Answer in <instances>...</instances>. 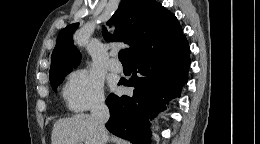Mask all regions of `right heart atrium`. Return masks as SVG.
Returning a JSON list of instances; mask_svg holds the SVG:
<instances>
[{
    "label": "right heart atrium",
    "mask_w": 260,
    "mask_h": 144,
    "mask_svg": "<svg viewBox=\"0 0 260 144\" xmlns=\"http://www.w3.org/2000/svg\"><path fill=\"white\" fill-rule=\"evenodd\" d=\"M64 99L76 112L86 111L104 103L102 79L87 69H78L69 74L64 86Z\"/></svg>",
    "instance_id": "obj_1"
}]
</instances>
